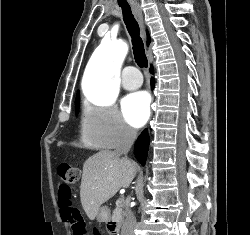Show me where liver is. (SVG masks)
<instances>
[{
  "label": "liver",
  "mask_w": 250,
  "mask_h": 235,
  "mask_svg": "<svg viewBox=\"0 0 250 235\" xmlns=\"http://www.w3.org/2000/svg\"><path fill=\"white\" fill-rule=\"evenodd\" d=\"M137 165L121 159L112 151H100L83 165L80 198L90 220L97 216L102 204L112 198L120 188H127L135 177Z\"/></svg>",
  "instance_id": "liver-1"
}]
</instances>
